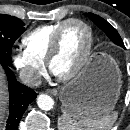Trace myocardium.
I'll return each mask as SVG.
<instances>
[{
    "instance_id": "obj_1",
    "label": "myocardium",
    "mask_w": 130,
    "mask_h": 130,
    "mask_svg": "<svg viewBox=\"0 0 130 130\" xmlns=\"http://www.w3.org/2000/svg\"><path fill=\"white\" fill-rule=\"evenodd\" d=\"M71 23H77L86 30L87 35H88L87 46H86V49L82 58L80 59L79 63L75 66V68L72 71H70L68 74L59 76L53 73L51 65H52L53 60L56 58L57 54L59 53L60 39H61L62 32L64 31L65 27ZM92 46H93V32H92L91 27L85 21L81 19H77V18L65 20L61 24V26L57 29V31L55 32L53 36V39H52V42H51V45H50V48H49V51L45 60L46 66L48 70L52 74H54L55 77H57L60 81H69L75 78L87 64L90 58L91 52H92Z\"/></svg>"
}]
</instances>
